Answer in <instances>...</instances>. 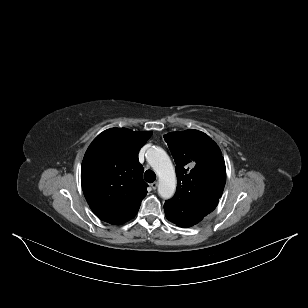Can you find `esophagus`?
<instances>
[{"mask_svg": "<svg viewBox=\"0 0 308 308\" xmlns=\"http://www.w3.org/2000/svg\"><path fill=\"white\" fill-rule=\"evenodd\" d=\"M157 186H158V183L157 182H153V183H151V187H152V189H157Z\"/></svg>", "mask_w": 308, "mask_h": 308, "instance_id": "obj_1", "label": "esophagus"}]
</instances>
